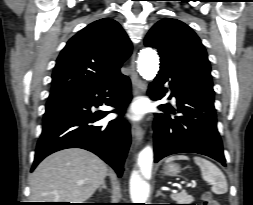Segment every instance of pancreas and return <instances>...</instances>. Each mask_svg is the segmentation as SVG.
<instances>
[{"instance_id":"obj_1","label":"pancreas","mask_w":253,"mask_h":205,"mask_svg":"<svg viewBox=\"0 0 253 205\" xmlns=\"http://www.w3.org/2000/svg\"><path fill=\"white\" fill-rule=\"evenodd\" d=\"M171 198L178 204H189L194 200V198L188 195L187 192L182 191L180 193L171 194Z\"/></svg>"}]
</instances>
